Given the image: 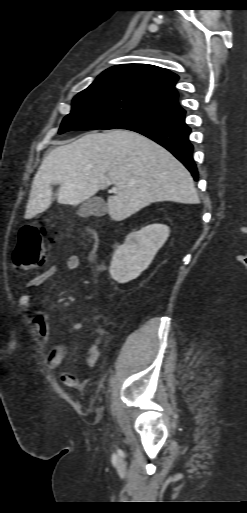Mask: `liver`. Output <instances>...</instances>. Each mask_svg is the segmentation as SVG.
<instances>
[{"label":"liver","mask_w":247,"mask_h":513,"mask_svg":"<svg viewBox=\"0 0 247 513\" xmlns=\"http://www.w3.org/2000/svg\"><path fill=\"white\" fill-rule=\"evenodd\" d=\"M114 184L107 211L122 221L155 202L198 204L190 172L165 148L129 130L90 132L58 146L42 161L32 182L25 219L46 210L52 185L57 202L78 205Z\"/></svg>","instance_id":"liver-1"}]
</instances>
